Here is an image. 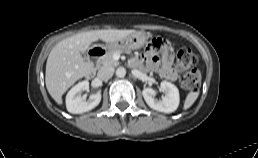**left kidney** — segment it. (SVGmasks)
<instances>
[{
    "label": "left kidney",
    "mask_w": 258,
    "mask_h": 158,
    "mask_svg": "<svg viewBox=\"0 0 258 158\" xmlns=\"http://www.w3.org/2000/svg\"><path fill=\"white\" fill-rule=\"evenodd\" d=\"M162 90L166 95L158 100L154 97V90L151 88H144L142 91L143 97L147 105L159 112L172 113L179 105V91L178 88L167 81H162L160 84Z\"/></svg>",
    "instance_id": "1"
}]
</instances>
